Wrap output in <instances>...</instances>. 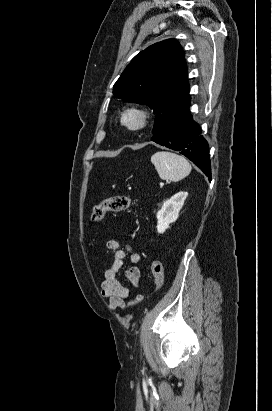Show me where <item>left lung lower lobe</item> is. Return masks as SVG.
Returning <instances> with one entry per match:
<instances>
[{"label": "left lung lower lobe", "instance_id": "obj_1", "mask_svg": "<svg viewBox=\"0 0 272 411\" xmlns=\"http://www.w3.org/2000/svg\"><path fill=\"white\" fill-rule=\"evenodd\" d=\"M190 101L177 111L156 132L151 141L181 154L195 163L211 179V164L208 143L189 111Z\"/></svg>", "mask_w": 272, "mask_h": 411}]
</instances>
